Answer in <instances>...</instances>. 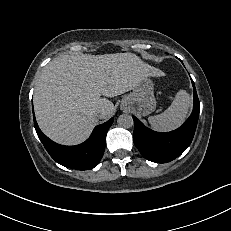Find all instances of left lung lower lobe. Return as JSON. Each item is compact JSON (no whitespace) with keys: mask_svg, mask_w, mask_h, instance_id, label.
<instances>
[{"mask_svg":"<svg viewBox=\"0 0 231 231\" xmlns=\"http://www.w3.org/2000/svg\"><path fill=\"white\" fill-rule=\"evenodd\" d=\"M194 87V108L188 120L178 129L159 133L145 127L136 117L133 139L140 153L149 161L167 163L182 154L192 142L199 117V99Z\"/></svg>","mask_w":231,"mask_h":231,"instance_id":"obj_1","label":"left lung lower lobe"}]
</instances>
